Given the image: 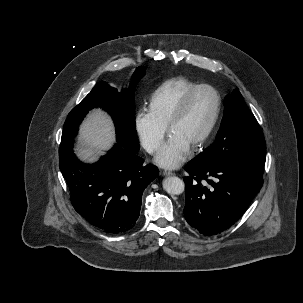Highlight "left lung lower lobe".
<instances>
[{"mask_svg": "<svg viewBox=\"0 0 303 303\" xmlns=\"http://www.w3.org/2000/svg\"><path fill=\"white\" fill-rule=\"evenodd\" d=\"M185 170L189 174L184 178L185 219L207 236L226 230L240 219L263 184L262 177L247 170L198 157Z\"/></svg>", "mask_w": 303, "mask_h": 303, "instance_id": "1", "label": "left lung lower lobe"}]
</instances>
